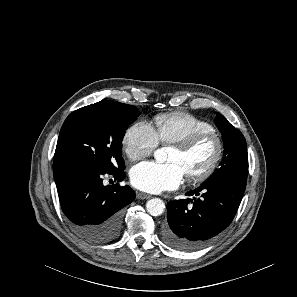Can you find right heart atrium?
<instances>
[{
	"label": "right heart atrium",
	"mask_w": 297,
	"mask_h": 297,
	"mask_svg": "<svg viewBox=\"0 0 297 297\" xmlns=\"http://www.w3.org/2000/svg\"><path fill=\"white\" fill-rule=\"evenodd\" d=\"M122 144L127 157L135 161L152 155L158 146V139L154 128L141 120L126 130Z\"/></svg>",
	"instance_id": "obj_1"
}]
</instances>
